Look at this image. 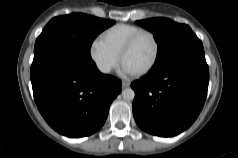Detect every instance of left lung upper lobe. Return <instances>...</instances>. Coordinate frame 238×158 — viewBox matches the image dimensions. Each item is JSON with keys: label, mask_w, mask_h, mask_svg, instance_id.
I'll return each instance as SVG.
<instances>
[{"label": "left lung upper lobe", "mask_w": 238, "mask_h": 158, "mask_svg": "<svg viewBox=\"0 0 238 158\" xmlns=\"http://www.w3.org/2000/svg\"><path fill=\"white\" fill-rule=\"evenodd\" d=\"M136 23L152 32L158 43L155 66L186 49L202 46V42L188 25L179 24L167 18H151Z\"/></svg>", "instance_id": "1"}]
</instances>
